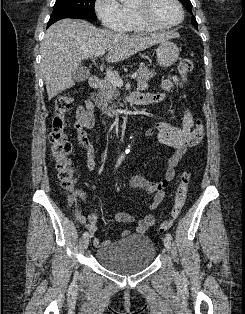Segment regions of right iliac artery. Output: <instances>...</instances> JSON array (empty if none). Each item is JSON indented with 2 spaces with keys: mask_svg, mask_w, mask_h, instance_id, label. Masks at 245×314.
Segmentation results:
<instances>
[{
  "mask_svg": "<svg viewBox=\"0 0 245 314\" xmlns=\"http://www.w3.org/2000/svg\"><path fill=\"white\" fill-rule=\"evenodd\" d=\"M123 159H124V154H122V155L119 157L118 162H117V164H116V168L120 165V163L122 162ZM88 235H89L88 232L85 231V232L83 233V238L87 237Z\"/></svg>",
  "mask_w": 245,
  "mask_h": 314,
  "instance_id": "right-iliac-artery-1",
  "label": "right iliac artery"
}]
</instances>
